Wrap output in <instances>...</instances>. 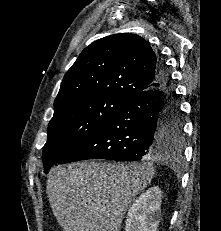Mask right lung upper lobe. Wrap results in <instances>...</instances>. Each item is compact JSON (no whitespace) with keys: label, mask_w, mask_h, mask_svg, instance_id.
<instances>
[{"label":"right lung upper lobe","mask_w":221,"mask_h":231,"mask_svg":"<svg viewBox=\"0 0 221 231\" xmlns=\"http://www.w3.org/2000/svg\"><path fill=\"white\" fill-rule=\"evenodd\" d=\"M160 58L136 34H114L91 43L66 72L54 112L90 96L124 99L153 87L159 80Z\"/></svg>","instance_id":"1"}]
</instances>
